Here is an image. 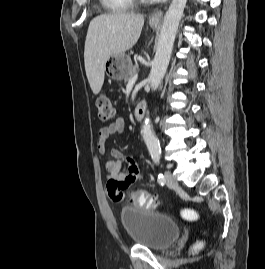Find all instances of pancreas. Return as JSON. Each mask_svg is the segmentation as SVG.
I'll return each mask as SVG.
<instances>
[{
  "label": "pancreas",
  "mask_w": 265,
  "mask_h": 269,
  "mask_svg": "<svg viewBox=\"0 0 265 269\" xmlns=\"http://www.w3.org/2000/svg\"><path fill=\"white\" fill-rule=\"evenodd\" d=\"M138 72V67H134L131 71V73L129 74V76L126 78V81H129L134 75H136Z\"/></svg>",
  "instance_id": "1"
}]
</instances>
